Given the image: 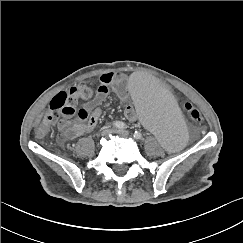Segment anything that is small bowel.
I'll return each instance as SVG.
<instances>
[{"mask_svg":"<svg viewBox=\"0 0 243 243\" xmlns=\"http://www.w3.org/2000/svg\"><path fill=\"white\" fill-rule=\"evenodd\" d=\"M126 80L127 77L123 73L102 74L95 97L83 104L77 117L72 119L73 114H64V118L58 122L62 137L64 139H75L94 128L101 115L100 104L107 97L110 88H113L120 100L125 103L128 99L125 89ZM124 113L128 119L136 120L132 106L127 105Z\"/></svg>","mask_w":243,"mask_h":243,"instance_id":"small-bowel-1","label":"small bowel"}]
</instances>
